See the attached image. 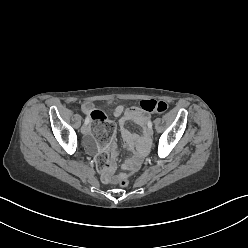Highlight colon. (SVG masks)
Returning <instances> with one entry per match:
<instances>
[{
    "label": "colon",
    "instance_id": "5ec220e1",
    "mask_svg": "<svg viewBox=\"0 0 248 248\" xmlns=\"http://www.w3.org/2000/svg\"><path fill=\"white\" fill-rule=\"evenodd\" d=\"M139 108L146 113H165L169 106L166 102L147 99L142 100ZM90 119L93 123L92 136L94 139V146L98 149L95 153V161L93 168L97 172H105L108 169L110 161V153L106 148L109 146V141L116 131L114 122L109 120L104 112L100 110H93L90 113ZM118 183L121 187L126 188L129 185V180L126 176L121 175L118 178Z\"/></svg>",
    "mask_w": 248,
    "mask_h": 248
}]
</instances>
